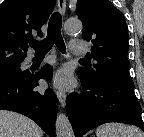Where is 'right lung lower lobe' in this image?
<instances>
[{"mask_svg":"<svg viewBox=\"0 0 144 137\" xmlns=\"http://www.w3.org/2000/svg\"><path fill=\"white\" fill-rule=\"evenodd\" d=\"M52 67L45 65L38 72L27 71L15 77L0 78V109L21 113L35 121L48 135L55 137L57 100L53 90H35L38 80L50 79Z\"/></svg>","mask_w":144,"mask_h":137,"instance_id":"98d812e1","label":"right lung lower lobe"}]
</instances>
